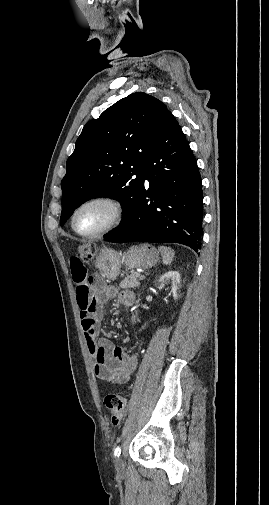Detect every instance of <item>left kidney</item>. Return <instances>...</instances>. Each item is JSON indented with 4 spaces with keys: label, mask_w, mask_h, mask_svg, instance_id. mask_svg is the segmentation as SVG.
<instances>
[{
    "label": "left kidney",
    "mask_w": 269,
    "mask_h": 505,
    "mask_svg": "<svg viewBox=\"0 0 269 505\" xmlns=\"http://www.w3.org/2000/svg\"><path fill=\"white\" fill-rule=\"evenodd\" d=\"M179 284H180V273L178 271H168L165 274H163L158 280L159 289H164L166 286L170 285L174 299L178 298L177 289Z\"/></svg>",
    "instance_id": "1"
}]
</instances>
